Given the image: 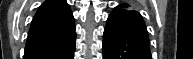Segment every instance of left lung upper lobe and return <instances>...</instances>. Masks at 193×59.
<instances>
[{"mask_svg":"<svg viewBox=\"0 0 193 59\" xmlns=\"http://www.w3.org/2000/svg\"><path fill=\"white\" fill-rule=\"evenodd\" d=\"M121 8H115V10L113 12H125V13H128L130 15H133V16H140V14L136 11H134L130 5L128 4H121L120 5Z\"/></svg>","mask_w":193,"mask_h":59,"instance_id":"5c2ea615","label":"left lung upper lobe"}]
</instances>
